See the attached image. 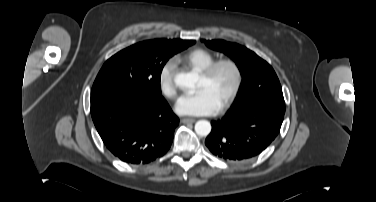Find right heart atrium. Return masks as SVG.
I'll use <instances>...</instances> for the list:
<instances>
[{
    "mask_svg": "<svg viewBox=\"0 0 376 202\" xmlns=\"http://www.w3.org/2000/svg\"><path fill=\"white\" fill-rule=\"evenodd\" d=\"M175 63L173 60L166 61L158 74V84L161 93L167 98L173 99L177 94L174 82Z\"/></svg>",
    "mask_w": 376,
    "mask_h": 202,
    "instance_id": "obj_1",
    "label": "right heart atrium"
}]
</instances>
